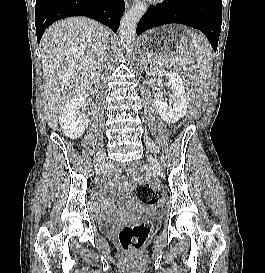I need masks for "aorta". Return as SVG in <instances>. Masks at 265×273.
Masks as SVG:
<instances>
[{
	"label": "aorta",
	"mask_w": 265,
	"mask_h": 273,
	"mask_svg": "<svg viewBox=\"0 0 265 273\" xmlns=\"http://www.w3.org/2000/svg\"><path fill=\"white\" fill-rule=\"evenodd\" d=\"M145 1H139L132 6L124 15L119 27V34L123 48L130 54L133 50V41L136 34L137 23L147 11Z\"/></svg>",
	"instance_id": "obj_1"
}]
</instances>
